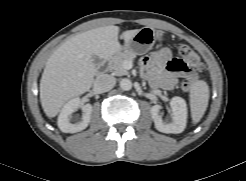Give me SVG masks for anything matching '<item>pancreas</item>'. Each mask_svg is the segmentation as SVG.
<instances>
[{"instance_id": "obj_1", "label": "pancreas", "mask_w": 246, "mask_h": 181, "mask_svg": "<svg viewBox=\"0 0 246 181\" xmlns=\"http://www.w3.org/2000/svg\"><path fill=\"white\" fill-rule=\"evenodd\" d=\"M135 54L132 52H122L113 57L109 69L114 75L122 76L127 75L128 71L125 68L126 61H132L135 58Z\"/></svg>"}]
</instances>
